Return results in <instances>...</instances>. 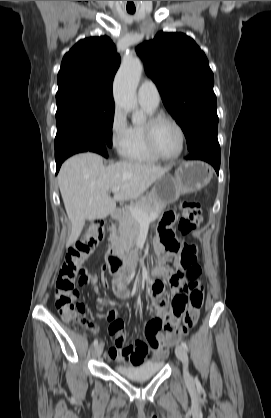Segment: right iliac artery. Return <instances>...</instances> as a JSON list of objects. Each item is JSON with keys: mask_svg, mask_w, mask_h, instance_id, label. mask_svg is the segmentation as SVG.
Wrapping results in <instances>:
<instances>
[{"mask_svg": "<svg viewBox=\"0 0 271 418\" xmlns=\"http://www.w3.org/2000/svg\"><path fill=\"white\" fill-rule=\"evenodd\" d=\"M97 344H98V340L95 339L94 342H93V345L96 346Z\"/></svg>", "mask_w": 271, "mask_h": 418, "instance_id": "obj_1", "label": "right iliac artery"}]
</instances>
